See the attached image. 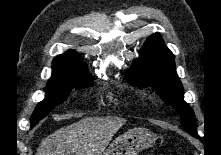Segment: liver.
<instances>
[{
  "instance_id": "6515ba94",
  "label": "liver",
  "mask_w": 221,
  "mask_h": 155,
  "mask_svg": "<svg viewBox=\"0 0 221 155\" xmlns=\"http://www.w3.org/2000/svg\"><path fill=\"white\" fill-rule=\"evenodd\" d=\"M125 123L116 116L84 118L43 139L37 155H102Z\"/></svg>"
}]
</instances>
